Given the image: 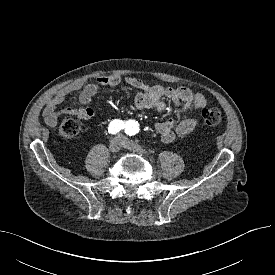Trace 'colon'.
Listing matches in <instances>:
<instances>
[{
	"label": "colon",
	"instance_id": "1",
	"mask_svg": "<svg viewBox=\"0 0 275 275\" xmlns=\"http://www.w3.org/2000/svg\"><path fill=\"white\" fill-rule=\"evenodd\" d=\"M201 115L207 126H217L222 122L221 111L217 108H205ZM81 129V124L69 115L63 116L59 124V133L65 139L76 137Z\"/></svg>",
	"mask_w": 275,
	"mask_h": 275
}]
</instances>
